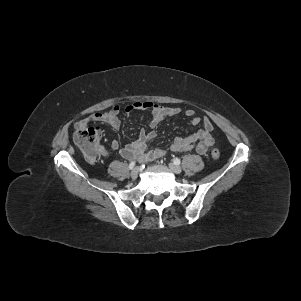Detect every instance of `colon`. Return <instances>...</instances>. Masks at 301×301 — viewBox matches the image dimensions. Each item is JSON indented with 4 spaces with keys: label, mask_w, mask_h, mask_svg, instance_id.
Masks as SVG:
<instances>
[{
    "label": "colon",
    "mask_w": 301,
    "mask_h": 301,
    "mask_svg": "<svg viewBox=\"0 0 301 301\" xmlns=\"http://www.w3.org/2000/svg\"><path fill=\"white\" fill-rule=\"evenodd\" d=\"M101 131L96 126H82L76 129L74 142L81 149L84 157L89 162H97L100 157ZM213 159L220 157V151L213 148L211 151Z\"/></svg>",
    "instance_id": "1"
}]
</instances>
